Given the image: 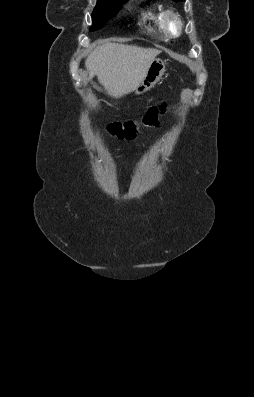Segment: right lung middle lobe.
I'll use <instances>...</instances> for the list:
<instances>
[{
  "instance_id": "1",
  "label": "right lung middle lobe",
  "mask_w": 254,
  "mask_h": 397,
  "mask_svg": "<svg viewBox=\"0 0 254 397\" xmlns=\"http://www.w3.org/2000/svg\"><path fill=\"white\" fill-rule=\"evenodd\" d=\"M128 0H97L96 7L92 13L93 24L89 31H95L104 26V24L115 16L122 5Z\"/></svg>"
}]
</instances>
